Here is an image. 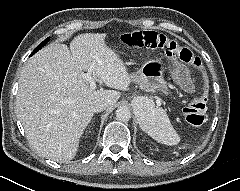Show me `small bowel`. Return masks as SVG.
Masks as SVG:
<instances>
[{"label":"small bowel","instance_id":"small-bowel-1","mask_svg":"<svg viewBox=\"0 0 240 191\" xmlns=\"http://www.w3.org/2000/svg\"><path fill=\"white\" fill-rule=\"evenodd\" d=\"M180 80L187 90H192V80L190 78L189 70L187 68H180Z\"/></svg>","mask_w":240,"mask_h":191}]
</instances>
